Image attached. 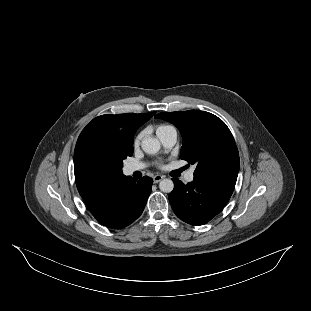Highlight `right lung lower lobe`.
I'll return each instance as SVG.
<instances>
[{"label": "right lung lower lobe", "instance_id": "98d812e1", "mask_svg": "<svg viewBox=\"0 0 311 311\" xmlns=\"http://www.w3.org/2000/svg\"><path fill=\"white\" fill-rule=\"evenodd\" d=\"M152 183V178L147 176L137 182L130 176H124L95 188L83 199L98 222L112 229H121L141 215Z\"/></svg>", "mask_w": 311, "mask_h": 311}]
</instances>
